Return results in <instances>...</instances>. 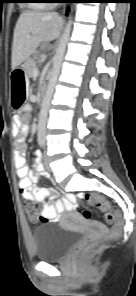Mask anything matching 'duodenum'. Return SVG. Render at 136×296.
<instances>
[{
	"label": "duodenum",
	"mask_w": 136,
	"mask_h": 296,
	"mask_svg": "<svg viewBox=\"0 0 136 296\" xmlns=\"http://www.w3.org/2000/svg\"><path fill=\"white\" fill-rule=\"evenodd\" d=\"M42 99H43V98H42V97H40V98H39V102H42Z\"/></svg>",
	"instance_id": "duodenum-1"
}]
</instances>
